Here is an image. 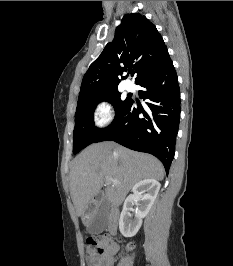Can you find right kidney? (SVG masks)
<instances>
[{
  "label": "right kidney",
  "instance_id": "1",
  "mask_svg": "<svg viewBox=\"0 0 233 266\" xmlns=\"http://www.w3.org/2000/svg\"><path fill=\"white\" fill-rule=\"evenodd\" d=\"M160 183L155 179H144L136 183L131 194L124 202L119 219V229L125 237H133L139 231L142 220L151 209L160 190ZM136 205L134 216L131 214Z\"/></svg>",
  "mask_w": 233,
  "mask_h": 266
}]
</instances>
